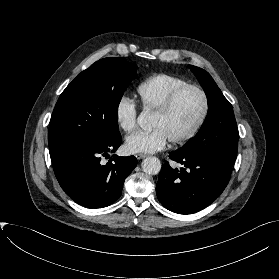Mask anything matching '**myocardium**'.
I'll return each instance as SVG.
<instances>
[{
    "label": "myocardium",
    "mask_w": 279,
    "mask_h": 279,
    "mask_svg": "<svg viewBox=\"0 0 279 279\" xmlns=\"http://www.w3.org/2000/svg\"><path fill=\"white\" fill-rule=\"evenodd\" d=\"M187 90H195L201 95L202 101H203V107H202V111H201L197 121L194 123V125L191 127V129L188 132H186L184 135H182L181 137L170 140V142L174 145H180V144H184V143L188 142L199 132V130L203 126V124L208 116V113H209L210 104H209L208 94L202 87H200L198 85L185 84V85H182V86L174 89L167 96V98L165 99L163 104L157 110L154 111V114L161 115V116L168 114L171 111L175 101L180 96V94H182L183 92H185Z\"/></svg>",
    "instance_id": "obj_1"
}]
</instances>
